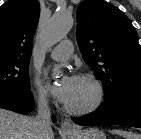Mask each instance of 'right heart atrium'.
Masks as SVG:
<instances>
[{"label": "right heart atrium", "instance_id": "d8ad5b80", "mask_svg": "<svg viewBox=\"0 0 141 139\" xmlns=\"http://www.w3.org/2000/svg\"><path fill=\"white\" fill-rule=\"evenodd\" d=\"M33 87H34V95L37 101L40 104H46L48 102L49 97L45 89L41 86V84L37 80L33 81Z\"/></svg>", "mask_w": 141, "mask_h": 139}]
</instances>
